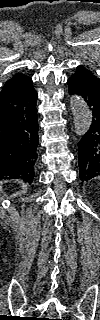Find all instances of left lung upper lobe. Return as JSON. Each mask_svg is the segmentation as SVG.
Here are the masks:
<instances>
[{"label": "left lung upper lobe", "mask_w": 100, "mask_h": 320, "mask_svg": "<svg viewBox=\"0 0 100 320\" xmlns=\"http://www.w3.org/2000/svg\"><path fill=\"white\" fill-rule=\"evenodd\" d=\"M77 68L99 81V79L94 74H92L88 69H86L85 67L78 66Z\"/></svg>", "instance_id": "1"}]
</instances>
